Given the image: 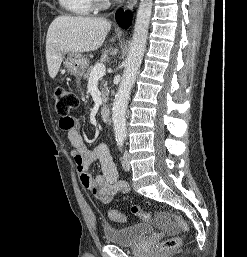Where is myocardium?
Listing matches in <instances>:
<instances>
[{"label":"myocardium","mask_w":247,"mask_h":257,"mask_svg":"<svg viewBox=\"0 0 247 257\" xmlns=\"http://www.w3.org/2000/svg\"><path fill=\"white\" fill-rule=\"evenodd\" d=\"M94 2L98 7H105L108 4L107 0H94Z\"/></svg>","instance_id":"myocardium-1"}]
</instances>
